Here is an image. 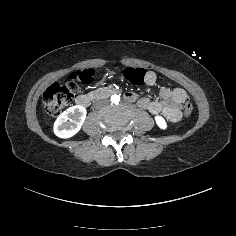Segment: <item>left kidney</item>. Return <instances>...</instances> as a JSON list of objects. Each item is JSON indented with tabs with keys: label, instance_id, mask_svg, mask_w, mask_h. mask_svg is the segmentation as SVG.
<instances>
[{
	"label": "left kidney",
	"instance_id": "5707ae66",
	"mask_svg": "<svg viewBox=\"0 0 236 236\" xmlns=\"http://www.w3.org/2000/svg\"><path fill=\"white\" fill-rule=\"evenodd\" d=\"M154 120H155V123H156L157 127L160 130H167L168 129V124H167V122H166V120L163 116L155 115Z\"/></svg>",
	"mask_w": 236,
	"mask_h": 236
}]
</instances>
